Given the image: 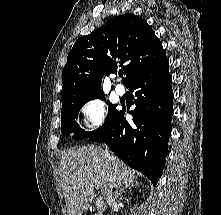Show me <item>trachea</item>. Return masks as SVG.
I'll list each match as a JSON object with an SVG mask.
<instances>
[{
	"label": "trachea",
	"instance_id": "1",
	"mask_svg": "<svg viewBox=\"0 0 221 215\" xmlns=\"http://www.w3.org/2000/svg\"><path fill=\"white\" fill-rule=\"evenodd\" d=\"M119 76H121V77H122V76H123V72H120V73H119Z\"/></svg>",
	"mask_w": 221,
	"mask_h": 215
}]
</instances>
